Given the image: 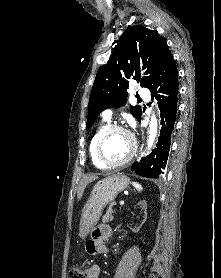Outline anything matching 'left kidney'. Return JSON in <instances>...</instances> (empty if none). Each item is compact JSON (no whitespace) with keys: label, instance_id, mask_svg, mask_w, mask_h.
<instances>
[{"label":"left kidney","instance_id":"5707ae66","mask_svg":"<svg viewBox=\"0 0 221 278\" xmlns=\"http://www.w3.org/2000/svg\"><path fill=\"white\" fill-rule=\"evenodd\" d=\"M139 206H141L144 209V213L146 215V210H147V203L145 201H140L138 203Z\"/></svg>","mask_w":221,"mask_h":278}]
</instances>
